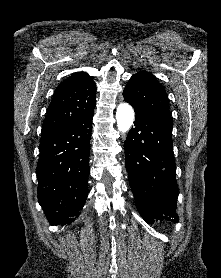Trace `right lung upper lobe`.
I'll return each mask as SVG.
<instances>
[{"mask_svg": "<svg viewBox=\"0 0 221 278\" xmlns=\"http://www.w3.org/2000/svg\"><path fill=\"white\" fill-rule=\"evenodd\" d=\"M96 84L85 72L73 73L55 90L43 122L41 140L89 114L95 107Z\"/></svg>", "mask_w": 221, "mask_h": 278, "instance_id": "cb5924a9", "label": "right lung upper lobe"}]
</instances>
